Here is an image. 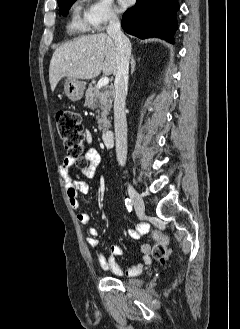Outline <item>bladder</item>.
<instances>
[{
    "label": "bladder",
    "instance_id": "31cf9c89",
    "mask_svg": "<svg viewBox=\"0 0 240 329\" xmlns=\"http://www.w3.org/2000/svg\"><path fill=\"white\" fill-rule=\"evenodd\" d=\"M125 283H127V284H136V285H138L139 283L138 282H133V281H130V280H125L124 281Z\"/></svg>",
    "mask_w": 240,
    "mask_h": 329
}]
</instances>
